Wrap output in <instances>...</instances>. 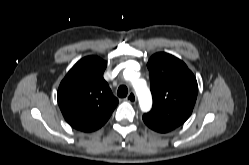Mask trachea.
<instances>
[{
    "label": "trachea",
    "mask_w": 249,
    "mask_h": 165,
    "mask_svg": "<svg viewBox=\"0 0 249 165\" xmlns=\"http://www.w3.org/2000/svg\"><path fill=\"white\" fill-rule=\"evenodd\" d=\"M127 93H128V89L125 85H121L119 88H118V91H117V95L121 98L123 97H126L127 96Z\"/></svg>",
    "instance_id": "obj_1"
}]
</instances>
